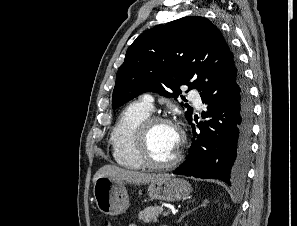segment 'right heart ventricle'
<instances>
[{
  "label": "right heart ventricle",
  "mask_w": 297,
  "mask_h": 226,
  "mask_svg": "<svg viewBox=\"0 0 297 226\" xmlns=\"http://www.w3.org/2000/svg\"><path fill=\"white\" fill-rule=\"evenodd\" d=\"M152 110L141 100L130 103L120 114L111 132L112 155L122 167L142 169L144 164L135 151V134L140 123Z\"/></svg>",
  "instance_id": "e07e8e85"
}]
</instances>
